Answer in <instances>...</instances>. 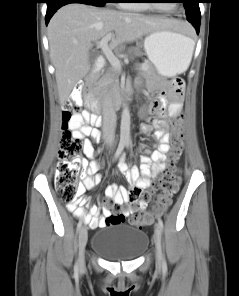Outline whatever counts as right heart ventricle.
<instances>
[{"instance_id": "right-heart-ventricle-1", "label": "right heart ventricle", "mask_w": 239, "mask_h": 296, "mask_svg": "<svg viewBox=\"0 0 239 296\" xmlns=\"http://www.w3.org/2000/svg\"><path fill=\"white\" fill-rule=\"evenodd\" d=\"M138 0H120L117 4L118 7L124 9H137V10H146L147 6L143 3H136Z\"/></svg>"}]
</instances>
